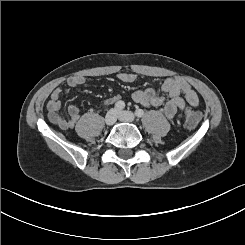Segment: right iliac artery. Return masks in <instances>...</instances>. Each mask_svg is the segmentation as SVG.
I'll return each instance as SVG.
<instances>
[{"instance_id":"obj_1","label":"right iliac artery","mask_w":245,"mask_h":245,"mask_svg":"<svg viewBox=\"0 0 245 245\" xmlns=\"http://www.w3.org/2000/svg\"><path fill=\"white\" fill-rule=\"evenodd\" d=\"M124 107H125V103H124L123 101H118V102L115 104V108H116L117 110H122V109H124Z\"/></svg>"}]
</instances>
